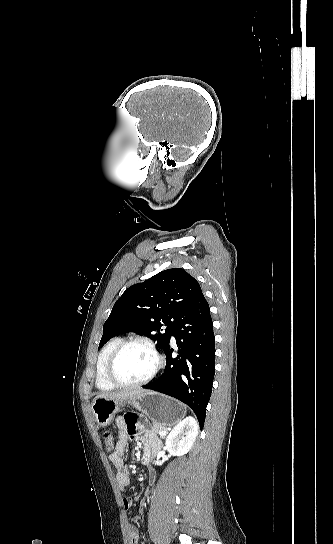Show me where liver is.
<instances>
[{"label":"liver","mask_w":333,"mask_h":544,"mask_svg":"<svg viewBox=\"0 0 333 544\" xmlns=\"http://www.w3.org/2000/svg\"><path fill=\"white\" fill-rule=\"evenodd\" d=\"M143 392H146L145 390H128L123 392H111V393H103L99 394L95 399L97 398H111V399H127L131 398L133 396L139 395Z\"/></svg>","instance_id":"6515ba94"}]
</instances>
